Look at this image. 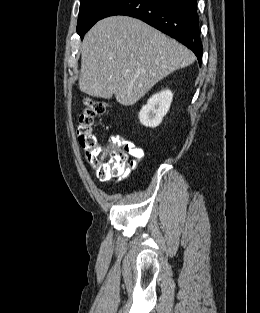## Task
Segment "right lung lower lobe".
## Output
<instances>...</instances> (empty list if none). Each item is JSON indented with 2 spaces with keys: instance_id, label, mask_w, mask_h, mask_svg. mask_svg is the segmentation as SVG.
Segmentation results:
<instances>
[{
  "instance_id": "1",
  "label": "right lung lower lobe",
  "mask_w": 260,
  "mask_h": 313,
  "mask_svg": "<svg viewBox=\"0 0 260 313\" xmlns=\"http://www.w3.org/2000/svg\"><path fill=\"white\" fill-rule=\"evenodd\" d=\"M196 2L197 0H117L101 19L113 15L141 19L187 46L201 64L202 43Z\"/></svg>"
}]
</instances>
